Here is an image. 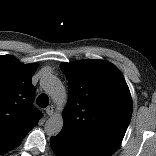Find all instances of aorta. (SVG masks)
Here are the masks:
<instances>
[{"mask_svg":"<svg viewBox=\"0 0 156 156\" xmlns=\"http://www.w3.org/2000/svg\"><path fill=\"white\" fill-rule=\"evenodd\" d=\"M43 90L57 104L62 106L67 99V94L62 83L54 75H45L40 80ZM63 127V116L60 112L50 116L44 125L46 134L50 137L57 136Z\"/></svg>","mask_w":156,"mask_h":156,"instance_id":"762f6f07","label":"aorta"}]
</instances>
